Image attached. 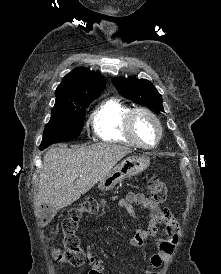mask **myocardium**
Wrapping results in <instances>:
<instances>
[{
    "mask_svg": "<svg viewBox=\"0 0 221 274\" xmlns=\"http://www.w3.org/2000/svg\"><path fill=\"white\" fill-rule=\"evenodd\" d=\"M139 114H144L146 116H148L149 118H151L153 120V122L156 125L157 128V138L155 140L154 143L152 144H145L143 143L137 136L136 131H135V119L137 117V115ZM126 130L128 135L130 136V138L135 142V144L141 148L144 149H151L156 147L163 136V128H162V124L159 120V118L157 117V115L151 111L150 109L146 108V107H135L132 108L130 110V112L127 115L126 118Z\"/></svg>",
    "mask_w": 221,
    "mask_h": 274,
    "instance_id": "1",
    "label": "myocardium"
}]
</instances>
